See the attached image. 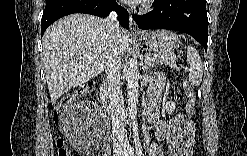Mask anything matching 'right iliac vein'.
Wrapping results in <instances>:
<instances>
[{
  "label": "right iliac vein",
  "mask_w": 247,
  "mask_h": 156,
  "mask_svg": "<svg viewBox=\"0 0 247 156\" xmlns=\"http://www.w3.org/2000/svg\"><path fill=\"white\" fill-rule=\"evenodd\" d=\"M122 152V147H121V145H116L115 147H114V153L115 154H118V153H121Z\"/></svg>",
  "instance_id": "63e3f726"
}]
</instances>
